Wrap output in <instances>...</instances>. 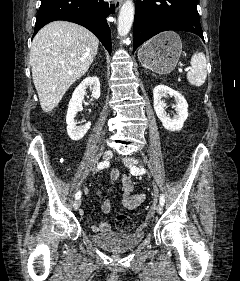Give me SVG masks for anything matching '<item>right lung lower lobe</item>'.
Instances as JSON below:
<instances>
[{
  "label": "right lung lower lobe",
  "instance_id": "98d812e1",
  "mask_svg": "<svg viewBox=\"0 0 240 281\" xmlns=\"http://www.w3.org/2000/svg\"><path fill=\"white\" fill-rule=\"evenodd\" d=\"M115 5L104 0H41L33 36L46 24L65 20L89 29L111 54V33L106 18Z\"/></svg>",
  "mask_w": 240,
  "mask_h": 281
}]
</instances>
